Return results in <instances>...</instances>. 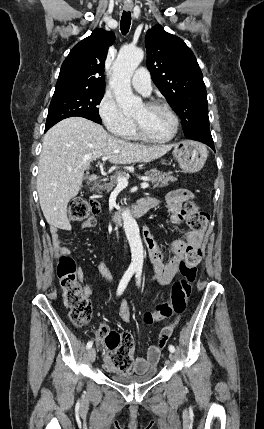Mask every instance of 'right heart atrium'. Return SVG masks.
Instances as JSON below:
<instances>
[{
    "label": "right heart atrium",
    "mask_w": 264,
    "mask_h": 429,
    "mask_svg": "<svg viewBox=\"0 0 264 429\" xmlns=\"http://www.w3.org/2000/svg\"><path fill=\"white\" fill-rule=\"evenodd\" d=\"M98 116L109 133L124 137L133 126V121L126 116L115 98L106 93L97 106Z\"/></svg>",
    "instance_id": "right-heart-atrium-1"
}]
</instances>
